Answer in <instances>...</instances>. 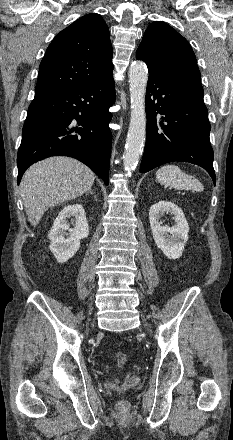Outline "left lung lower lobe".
<instances>
[{
  "mask_svg": "<svg viewBox=\"0 0 233 440\" xmlns=\"http://www.w3.org/2000/svg\"><path fill=\"white\" fill-rule=\"evenodd\" d=\"M203 95V89L149 76L147 138L140 172L146 173L164 163L184 161L203 167L216 183ZM158 113L165 115L160 118V124L156 119Z\"/></svg>",
  "mask_w": 233,
  "mask_h": 440,
  "instance_id": "1",
  "label": "left lung lower lobe"
}]
</instances>
